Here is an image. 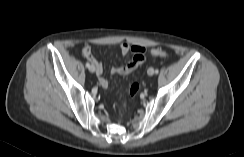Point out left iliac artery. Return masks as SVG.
<instances>
[{"label": "left iliac artery", "mask_w": 244, "mask_h": 157, "mask_svg": "<svg viewBox=\"0 0 244 157\" xmlns=\"http://www.w3.org/2000/svg\"><path fill=\"white\" fill-rule=\"evenodd\" d=\"M154 72H155L156 74H158V73H159V70H158V69H156Z\"/></svg>", "instance_id": "left-iliac-artery-1"}]
</instances>
